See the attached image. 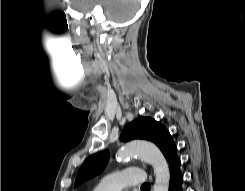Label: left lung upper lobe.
Instances as JSON below:
<instances>
[{"instance_id":"left-lung-upper-lobe-1","label":"left lung upper lobe","mask_w":245,"mask_h":191,"mask_svg":"<svg viewBox=\"0 0 245 191\" xmlns=\"http://www.w3.org/2000/svg\"><path fill=\"white\" fill-rule=\"evenodd\" d=\"M120 139L129 141L145 139L154 142L168 160L176 149L175 143L166 127L150 117H140L129 123L123 130ZM108 161L106 151L90 156L80 168L75 186L85 178H90L100 173Z\"/></svg>"}]
</instances>
